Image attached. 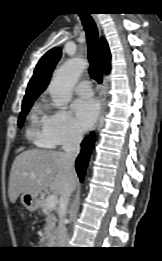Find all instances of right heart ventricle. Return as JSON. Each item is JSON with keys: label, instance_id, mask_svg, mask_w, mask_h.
I'll return each instance as SVG.
<instances>
[{"label": "right heart ventricle", "instance_id": "1", "mask_svg": "<svg viewBox=\"0 0 162 261\" xmlns=\"http://www.w3.org/2000/svg\"><path fill=\"white\" fill-rule=\"evenodd\" d=\"M44 117L42 104H36L30 114L31 126L29 129V134L34 137L40 145L48 147L49 145L41 140V132L38 129V126L42 124Z\"/></svg>", "mask_w": 162, "mask_h": 261}]
</instances>
